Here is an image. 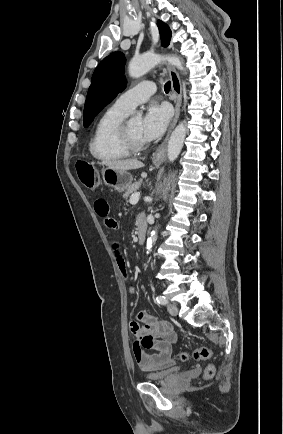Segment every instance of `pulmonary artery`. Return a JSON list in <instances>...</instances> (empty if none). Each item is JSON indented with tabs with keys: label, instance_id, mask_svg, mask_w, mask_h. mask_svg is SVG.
Listing matches in <instances>:
<instances>
[{
	"label": "pulmonary artery",
	"instance_id": "1",
	"mask_svg": "<svg viewBox=\"0 0 283 434\" xmlns=\"http://www.w3.org/2000/svg\"><path fill=\"white\" fill-rule=\"evenodd\" d=\"M156 87L152 81H143L122 93L114 105L126 111H132L137 105L146 102L154 93Z\"/></svg>",
	"mask_w": 283,
	"mask_h": 434
}]
</instances>
